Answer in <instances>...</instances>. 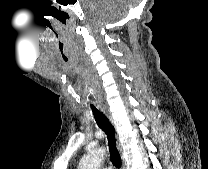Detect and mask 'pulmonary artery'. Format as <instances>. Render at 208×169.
I'll return each instance as SVG.
<instances>
[{"label": "pulmonary artery", "mask_w": 208, "mask_h": 169, "mask_svg": "<svg viewBox=\"0 0 208 169\" xmlns=\"http://www.w3.org/2000/svg\"><path fill=\"white\" fill-rule=\"evenodd\" d=\"M101 169H112L111 167H102Z\"/></svg>", "instance_id": "pulmonary-artery-1"}]
</instances>
